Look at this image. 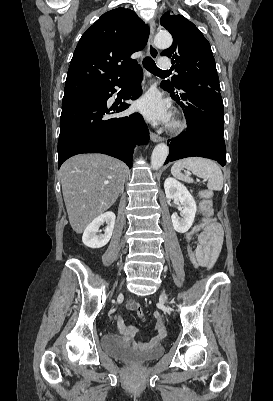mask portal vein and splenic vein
Wrapping results in <instances>:
<instances>
[{
  "instance_id": "obj_1",
  "label": "portal vein and splenic vein",
  "mask_w": 273,
  "mask_h": 401,
  "mask_svg": "<svg viewBox=\"0 0 273 401\" xmlns=\"http://www.w3.org/2000/svg\"><path fill=\"white\" fill-rule=\"evenodd\" d=\"M188 174H191V172H189V170H187ZM197 180H199V178H197Z\"/></svg>"
}]
</instances>
